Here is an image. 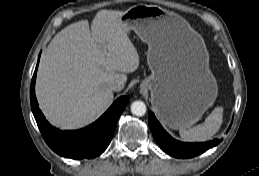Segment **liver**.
Listing matches in <instances>:
<instances>
[{
	"label": "liver",
	"instance_id": "liver-1",
	"mask_svg": "<svg viewBox=\"0 0 259 176\" xmlns=\"http://www.w3.org/2000/svg\"><path fill=\"white\" fill-rule=\"evenodd\" d=\"M124 11L100 10L92 20L57 33L42 54L36 97L46 119L61 129L84 127L113 102L110 84L127 81L139 55L119 21Z\"/></svg>",
	"mask_w": 259,
	"mask_h": 176
}]
</instances>
